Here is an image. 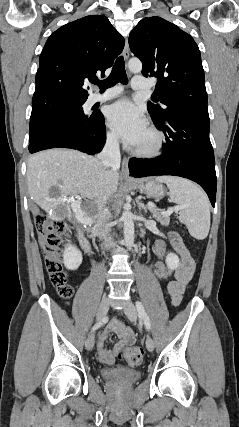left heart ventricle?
Wrapping results in <instances>:
<instances>
[{"mask_svg":"<svg viewBox=\"0 0 239 427\" xmlns=\"http://www.w3.org/2000/svg\"><path fill=\"white\" fill-rule=\"evenodd\" d=\"M153 141V137L151 133L146 129V131L143 133L135 147H147L149 146Z\"/></svg>","mask_w":239,"mask_h":427,"instance_id":"left-heart-ventricle-1","label":"left heart ventricle"}]
</instances>
